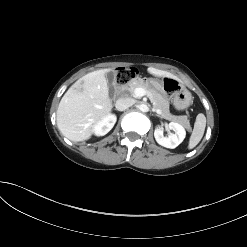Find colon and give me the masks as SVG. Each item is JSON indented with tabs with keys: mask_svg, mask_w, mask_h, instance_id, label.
<instances>
[{
	"mask_svg": "<svg viewBox=\"0 0 247 247\" xmlns=\"http://www.w3.org/2000/svg\"><path fill=\"white\" fill-rule=\"evenodd\" d=\"M133 77V71L119 68L116 72V82L119 85L126 84Z\"/></svg>",
	"mask_w": 247,
	"mask_h": 247,
	"instance_id": "colon-1",
	"label": "colon"
}]
</instances>
